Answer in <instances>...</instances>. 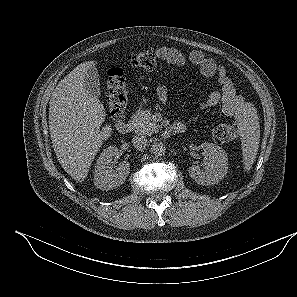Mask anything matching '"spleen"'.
I'll use <instances>...</instances> for the list:
<instances>
[{"label":"spleen","mask_w":297,"mask_h":297,"mask_svg":"<svg viewBox=\"0 0 297 297\" xmlns=\"http://www.w3.org/2000/svg\"><path fill=\"white\" fill-rule=\"evenodd\" d=\"M241 136L244 169L249 171L256 159L260 141L259 118L255 109L237 117Z\"/></svg>","instance_id":"spleen-1"}]
</instances>
